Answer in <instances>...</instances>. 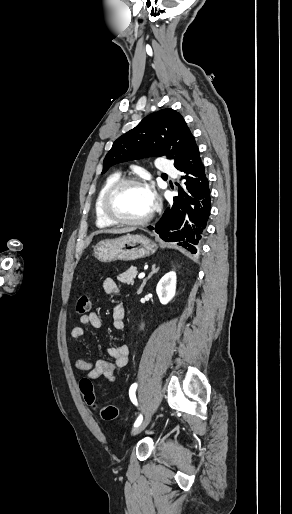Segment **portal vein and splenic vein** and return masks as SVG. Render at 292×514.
I'll return each mask as SVG.
<instances>
[{
	"label": "portal vein and splenic vein",
	"instance_id": "18ae733b",
	"mask_svg": "<svg viewBox=\"0 0 292 514\" xmlns=\"http://www.w3.org/2000/svg\"><path fill=\"white\" fill-rule=\"evenodd\" d=\"M145 274H139L138 278L141 280V278H144Z\"/></svg>",
	"mask_w": 292,
	"mask_h": 514
}]
</instances>
